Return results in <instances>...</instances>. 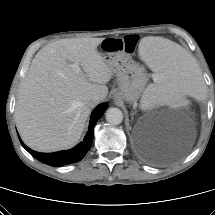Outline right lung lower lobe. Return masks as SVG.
Instances as JSON below:
<instances>
[{
  "mask_svg": "<svg viewBox=\"0 0 215 215\" xmlns=\"http://www.w3.org/2000/svg\"><path fill=\"white\" fill-rule=\"evenodd\" d=\"M108 107L107 103L98 105L92 112L89 130L80 144L71 150L56 153H39L28 148L20 139L22 146L37 160L50 166H62L80 161L88 152L93 141V128Z\"/></svg>",
  "mask_w": 215,
  "mask_h": 215,
  "instance_id": "98d812e1",
  "label": "right lung lower lobe"
}]
</instances>
